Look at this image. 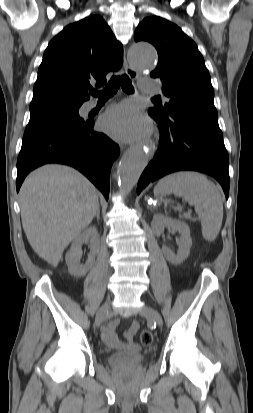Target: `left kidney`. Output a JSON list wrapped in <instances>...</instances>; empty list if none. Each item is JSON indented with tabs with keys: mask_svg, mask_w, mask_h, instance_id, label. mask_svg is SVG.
<instances>
[{
	"mask_svg": "<svg viewBox=\"0 0 253 413\" xmlns=\"http://www.w3.org/2000/svg\"><path fill=\"white\" fill-rule=\"evenodd\" d=\"M151 226L156 235L162 234L165 227H170L181 234L179 249L176 254L166 246H163L162 248V252L169 262L175 265L181 264L189 256L190 247L192 245L188 225L180 220H174L161 214H155Z\"/></svg>",
	"mask_w": 253,
	"mask_h": 413,
	"instance_id": "5707ae66",
	"label": "left kidney"
}]
</instances>
